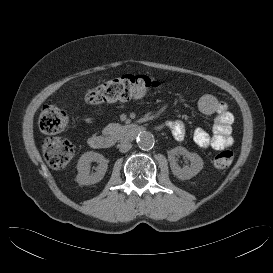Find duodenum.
<instances>
[{
	"instance_id": "1",
	"label": "duodenum",
	"mask_w": 273,
	"mask_h": 273,
	"mask_svg": "<svg viewBox=\"0 0 273 273\" xmlns=\"http://www.w3.org/2000/svg\"><path fill=\"white\" fill-rule=\"evenodd\" d=\"M124 128L123 134L129 138H136L144 131L140 125H125ZM88 144L93 149L102 150L111 148L114 145V140L110 136L93 135L88 139Z\"/></svg>"
}]
</instances>
